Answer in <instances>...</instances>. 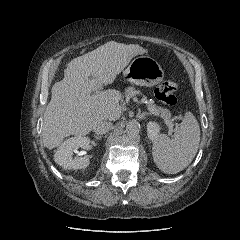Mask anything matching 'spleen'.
<instances>
[{
    "label": "spleen",
    "instance_id": "spleen-1",
    "mask_svg": "<svg viewBox=\"0 0 240 240\" xmlns=\"http://www.w3.org/2000/svg\"><path fill=\"white\" fill-rule=\"evenodd\" d=\"M199 143L198 121L191 112H187L173 139L161 134L153 141L154 162L164 173H178L192 162L198 151Z\"/></svg>",
    "mask_w": 240,
    "mask_h": 240
}]
</instances>
